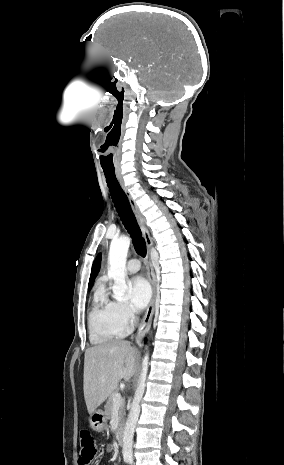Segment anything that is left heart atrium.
<instances>
[{
    "label": "left heart atrium",
    "mask_w": 284,
    "mask_h": 465,
    "mask_svg": "<svg viewBox=\"0 0 284 465\" xmlns=\"http://www.w3.org/2000/svg\"><path fill=\"white\" fill-rule=\"evenodd\" d=\"M129 305L134 312H140L146 308L151 297V289L148 282L141 276L129 281Z\"/></svg>",
    "instance_id": "left-heart-atrium-1"
}]
</instances>
